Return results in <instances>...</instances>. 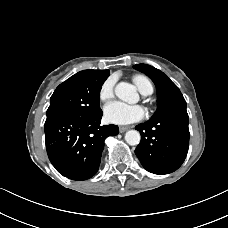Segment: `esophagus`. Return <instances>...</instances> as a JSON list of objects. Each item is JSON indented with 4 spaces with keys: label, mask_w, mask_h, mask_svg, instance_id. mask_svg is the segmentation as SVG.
<instances>
[{
    "label": "esophagus",
    "mask_w": 228,
    "mask_h": 228,
    "mask_svg": "<svg viewBox=\"0 0 228 228\" xmlns=\"http://www.w3.org/2000/svg\"><path fill=\"white\" fill-rule=\"evenodd\" d=\"M128 129H129V127H125V126H120V127H119L120 133H124V132H126Z\"/></svg>",
    "instance_id": "1"
}]
</instances>
